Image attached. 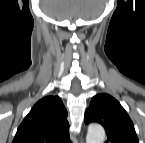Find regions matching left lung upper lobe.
Listing matches in <instances>:
<instances>
[{"mask_svg": "<svg viewBox=\"0 0 145 143\" xmlns=\"http://www.w3.org/2000/svg\"><path fill=\"white\" fill-rule=\"evenodd\" d=\"M85 123L98 122L104 126L106 143H139L133 122L121 104L108 94H98L85 113Z\"/></svg>", "mask_w": 145, "mask_h": 143, "instance_id": "1", "label": "left lung upper lobe"}]
</instances>
